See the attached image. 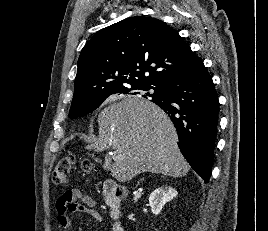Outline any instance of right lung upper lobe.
<instances>
[{"mask_svg": "<svg viewBox=\"0 0 268 231\" xmlns=\"http://www.w3.org/2000/svg\"><path fill=\"white\" fill-rule=\"evenodd\" d=\"M202 65L166 23L130 17L101 29L86 43L78 59L72 103L92 104L127 87H162Z\"/></svg>", "mask_w": 268, "mask_h": 231, "instance_id": "right-lung-upper-lobe-1", "label": "right lung upper lobe"}]
</instances>
